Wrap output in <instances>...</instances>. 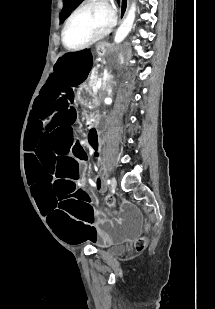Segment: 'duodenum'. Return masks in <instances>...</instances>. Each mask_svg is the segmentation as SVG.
<instances>
[{
    "label": "duodenum",
    "mask_w": 215,
    "mask_h": 309,
    "mask_svg": "<svg viewBox=\"0 0 215 309\" xmlns=\"http://www.w3.org/2000/svg\"><path fill=\"white\" fill-rule=\"evenodd\" d=\"M99 122V116L98 115H92L89 119V124L95 126Z\"/></svg>",
    "instance_id": "obj_1"
}]
</instances>
